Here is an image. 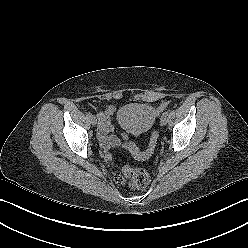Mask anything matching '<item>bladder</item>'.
Here are the masks:
<instances>
[{
	"mask_svg": "<svg viewBox=\"0 0 248 248\" xmlns=\"http://www.w3.org/2000/svg\"><path fill=\"white\" fill-rule=\"evenodd\" d=\"M119 120L135 134H142L152 128L156 114L147 103H132L119 111Z\"/></svg>",
	"mask_w": 248,
	"mask_h": 248,
	"instance_id": "1",
	"label": "bladder"
}]
</instances>
